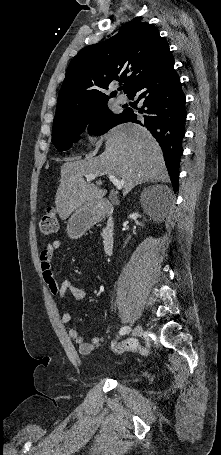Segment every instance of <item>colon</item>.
<instances>
[{
    "label": "colon",
    "mask_w": 221,
    "mask_h": 455,
    "mask_svg": "<svg viewBox=\"0 0 221 455\" xmlns=\"http://www.w3.org/2000/svg\"><path fill=\"white\" fill-rule=\"evenodd\" d=\"M39 231L44 236H52L58 231V217L57 212L54 208H49L42 215L39 221ZM112 349L117 353H123L126 351L139 350L142 354L146 353V350L141 348L136 340L129 339L124 342H113Z\"/></svg>",
    "instance_id": "5ec220e1"
}]
</instances>
